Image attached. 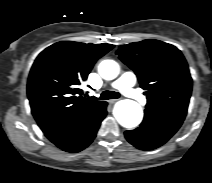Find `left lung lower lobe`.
<instances>
[{"label":"left lung lower lobe","instance_id":"1","mask_svg":"<svg viewBox=\"0 0 212 183\" xmlns=\"http://www.w3.org/2000/svg\"><path fill=\"white\" fill-rule=\"evenodd\" d=\"M183 120L145 110L143 122L135 130L125 132L126 139L141 150H152L167 142Z\"/></svg>","mask_w":212,"mask_h":183}]
</instances>
